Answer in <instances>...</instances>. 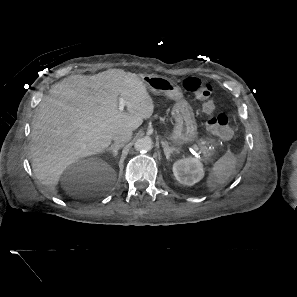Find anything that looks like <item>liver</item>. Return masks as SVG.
<instances>
[{"label":"liver","mask_w":297,"mask_h":297,"mask_svg":"<svg viewBox=\"0 0 297 297\" xmlns=\"http://www.w3.org/2000/svg\"><path fill=\"white\" fill-rule=\"evenodd\" d=\"M50 93L32 125L30 154L35 176L52 193L69 165L103 152L118 130H136L154 111L144 82L121 69L70 76ZM119 98L128 112L119 110Z\"/></svg>","instance_id":"liver-1"}]
</instances>
